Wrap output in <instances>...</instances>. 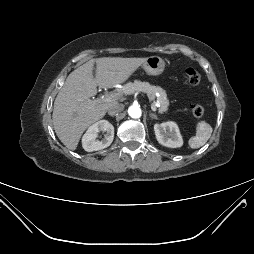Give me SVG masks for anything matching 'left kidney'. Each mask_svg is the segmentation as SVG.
<instances>
[{"label": "left kidney", "mask_w": 254, "mask_h": 254, "mask_svg": "<svg viewBox=\"0 0 254 254\" xmlns=\"http://www.w3.org/2000/svg\"><path fill=\"white\" fill-rule=\"evenodd\" d=\"M154 131L157 141L166 147L178 148L183 145V139L179 128L174 122H164L154 125Z\"/></svg>", "instance_id": "1"}]
</instances>
